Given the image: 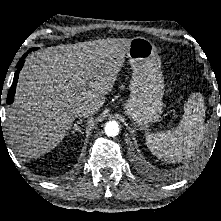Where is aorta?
<instances>
[{
    "label": "aorta",
    "mask_w": 221,
    "mask_h": 221,
    "mask_svg": "<svg viewBox=\"0 0 221 221\" xmlns=\"http://www.w3.org/2000/svg\"><path fill=\"white\" fill-rule=\"evenodd\" d=\"M105 133L107 136L114 137L119 133V124L116 121H109L105 125Z\"/></svg>",
    "instance_id": "1"
}]
</instances>
